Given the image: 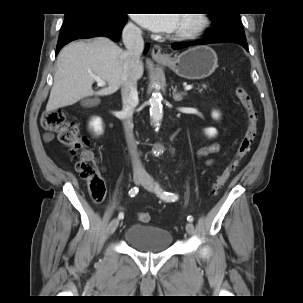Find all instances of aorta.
<instances>
[{"instance_id": "762f6f07", "label": "aorta", "mask_w": 303, "mask_h": 303, "mask_svg": "<svg viewBox=\"0 0 303 303\" xmlns=\"http://www.w3.org/2000/svg\"><path fill=\"white\" fill-rule=\"evenodd\" d=\"M162 97L160 93L155 91L150 99V116L155 126H159L160 122L163 118ZM161 150L155 151V153L159 154Z\"/></svg>"}]
</instances>
